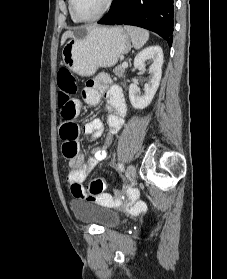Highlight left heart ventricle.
<instances>
[{
    "instance_id": "obj_1",
    "label": "left heart ventricle",
    "mask_w": 227,
    "mask_h": 279,
    "mask_svg": "<svg viewBox=\"0 0 227 279\" xmlns=\"http://www.w3.org/2000/svg\"><path fill=\"white\" fill-rule=\"evenodd\" d=\"M105 0H74L75 13L81 18L95 16L104 6Z\"/></svg>"
}]
</instances>
